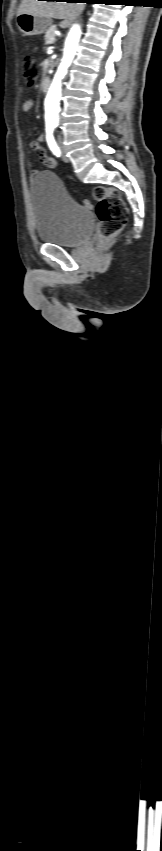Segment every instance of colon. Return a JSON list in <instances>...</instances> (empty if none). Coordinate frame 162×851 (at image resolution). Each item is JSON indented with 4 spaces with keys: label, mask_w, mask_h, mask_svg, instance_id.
<instances>
[{
    "label": "colon",
    "mask_w": 162,
    "mask_h": 851,
    "mask_svg": "<svg viewBox=\"0 0 162 851\" xmlns=\"http://www.w3.org/2000/svg\"><path fill=\"white\" fill-rule=\"evenodd\" d=\"M23 66L25 83L28 87H32L38 76V67L30 57L24 58ZM93 198L96 201L95 210L100 221L98 241L102 245L124 228L128 210L119 191L115 188L97 186L93 189ZM84 205L89 208L93 206L88 200L84 201Z\"/></svg>",
    "instance_id": "5ec220e1"
}]
</instances>
